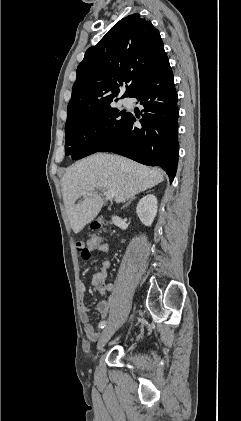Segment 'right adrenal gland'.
Instances as JSON below:
<instances>
[{
  "instance_id": "2a0ac1e0",
  "label": "right adrenal gland",
  "mask_w": 241,
  "mask_h": 421,
  "mask_svg": "<svg viewBox=\"0 0 241 421\" xmlns=\"http://www.w3.org/2000/svg\"><path fill=\"white\" fill-rule=\"evenodd\" d=\"M135 198L136 196L132 197L122 208H126Z\"/></svg>"
}]
</instances>
